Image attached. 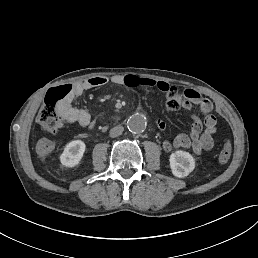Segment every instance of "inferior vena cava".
I'll use <instances>...</instances> for the list:
<instances>
[{
  "label": "inferior vena cava",
  "instance_id": "inferior-vena-cava-1",
  "mask_svg": "<svg viewBox=\"0 0 258 258\" xmlns=\"http://www.w3.org/2000/svg\"><path fill=\"white\" fill-rule=\"evenodd\" d=\"M123 131H124L123 126L118 125L110 130V137L112 138L117 137L121 135Z\"/></svg>",
  "mask_w": 258,
  "mask_h": 258
}]
</instances>
